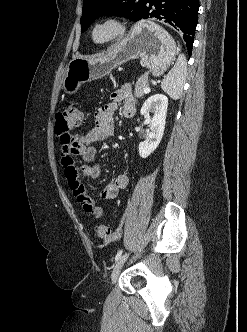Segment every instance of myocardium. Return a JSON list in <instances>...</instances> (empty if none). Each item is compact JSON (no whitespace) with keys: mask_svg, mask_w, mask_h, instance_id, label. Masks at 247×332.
<instances>
[{"mask_svg":"<svg viewBox=\"0 0 247 332\" xmlns=\"http://www.w3.org/2000/svg\"><path fill=\"white\" fill-rule=\"evenodd\" d=\"M103 26H110L113 29V33L110 37L104 40H97L95 37V33L97 29ZM126 31L127 25L122 19L115 16H108L96 21L92 25L90 29V38L92 42L97 45H107L120 40L126 34Z\"/></svg>","mask_w":247,"mask_h":332,"instance_id":"myocardium-1","label":"myocardium"}]
</instances>
